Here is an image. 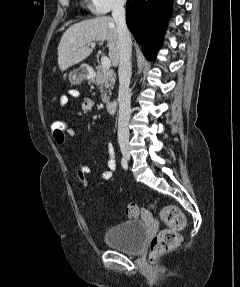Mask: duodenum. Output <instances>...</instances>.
Segmentation results:
<instances>
[{"instance_id":"obj_1","label":"duodenum","mask_w":240,"mask_h":287,"mask_svg":"<svg viewBox=\"0 0 240 287\" xmlns=\"http://www.w3.org/2000/svg\"><path fill=\"white\" fill-rule=\"evenodd\" d=\"M91 71H88L87 74H90ZM117 108V102L115 100H110L106 104V109L109 113H115Z\"/></svg>"}]
</instances>
